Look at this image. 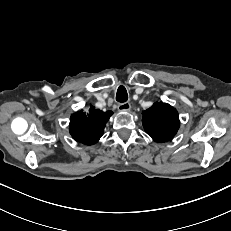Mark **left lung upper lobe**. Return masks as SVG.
Returning a JSON list of instances; mask_svg holds the SVG:
<instances>
[{
    "mask_svg": "<svg viewBox=\"0 0 231 231\" xmlns=\"http://www.w3.org/2000/svg\"><path fill=\"white\" fill-rule=\"evenodd\" d=\"M142 123L146 133L156 142L171 140L179 129L178 112L169 104L156 102L144 111Z\"/></svg>",
    "mask_w": 231,
    "mask_h": 231,
    "instance_id": "1",
    "label": "left lung upper lobe"
}]
</instances>
